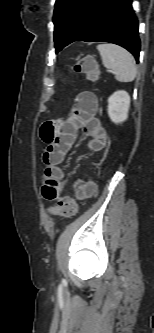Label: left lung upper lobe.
Returning <instances> with one entry per match:
<instances>
[{"instance_id":"left-lung-upper-lobe-1","label":"left lung upper lobe","mask_w":154,"mask_h":333,"mask_svg":"<svg viewBox=\"0 0 154 333\" xmlns=\"http://www.w3.org/2000/svg\"><path fill=\"white\" fill-rule=\"evenodd\" d=\"M97 0H56L53 22L56 51L75 33L90 8Z\"/></svg>"}]
</instances>
